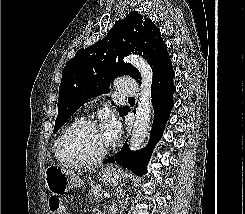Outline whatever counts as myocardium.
<instances>
[{"mask_svg": "<svg viewBox=\"0 0 245 214\" xmlns=\"http://www.w3.org/2000/svg\"><path fill=\"white\" fill-rule=\"evenodd\" d=\"M86 126H96L99 127V124L92 119H81L74 123L71 127L67 129V131L63 134L60 143H59V151L61 156L69 161L72 164L78 165H88V164H95L99 163L106 158V156L111 151V146H109L106 150H104L101 154L94 156V157H81L69 150V141L71 137L81 128Z\"/></svg>", "mask_w": 245, "mask_h": 214, "instance_id": "obj_1", "label": "myocardium"}]
</instances>
